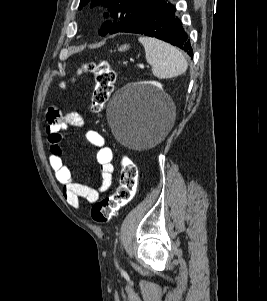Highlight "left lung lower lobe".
<instances>
[{
	"mask_svg": "<svg viewBox=\"0 0 267 301\" xmlns=\"http://www.w3.org/2000/svg\"><path fill=\"white\" fill-rule=\"evenodd\" d=\"M175 11L169 0H161L118 32L143 34L164 40L183 49L193 58L190 40Z\"/></svg>",
	"mask_w": 267,
	"mask_h": 301,
	"instance_id": "1",
	"label": "left lung lower lobe"
}]
</instances>
